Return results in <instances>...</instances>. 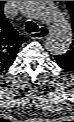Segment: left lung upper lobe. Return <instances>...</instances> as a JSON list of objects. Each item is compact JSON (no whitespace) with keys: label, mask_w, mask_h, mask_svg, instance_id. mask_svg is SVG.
I'll list each match as a JSON object with an SVG mask.
<instances>
[{"label":"left lung upper lobe","mask_w":74,"mask_h":122,"mask_svg":"<svg viewBox=\"0 0 74 122\" xmlns=\"http://www.w3.org/2000/svg\"><path fill=\"white\" fill-rule=\"evenodd\" d=\"M67 3V7L71 13V17H72V29H73V33H74V1H66ZM74 39V36H73ZM60 56L62 59L71 62L74 64V40L70 46V49L62 55H58Z\"/></svg>","instance_id":"obj_1"}]
</instances>
